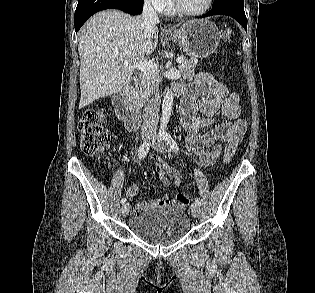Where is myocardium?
<instances>
[{
	"instance_id": "1",
	"label": "myocardium",
	"mask_w": 315,
	"mask_h": 293,
	"mask_svg": "<svg viewBox=\"0 0 315 293\" xmlns=\"http://www.w3.org/2000/svg\"><path fill=\"white\" fill-rule=\"evenodd\" d=\"M172 7L175 12L184 15V16H200L205 14L211 8L213 4V0H207L205 6L197 11H190L185 9L179 0H171Z\"/></svg>"
}]
</instances>
